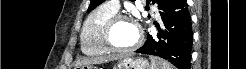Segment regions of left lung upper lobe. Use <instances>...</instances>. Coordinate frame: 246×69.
Returning <instances> with one entry per match:
<instances>
[{
	"instance_id": "5c2ea615",
	"label": "left lung upper lobe",
	"mask_w": 246,
	"mask_h": 69,
	"mask_svg": "<svg viewBox=\"0 0 246 69\" xmlns=\"http://www.w3.org/2000/svg\"><path fill=\"white\" fill-rule=\"evenodd\" d=\"M104 1L105 0H91L89 8H88V12L92 11L94 8H96L98 5H100ZM131 1H134V0H131ZM150 1H152L153 4L157 3L158 8L161 10L170 0H147V3H149Z\"/></svg>"
}]
</instances>
